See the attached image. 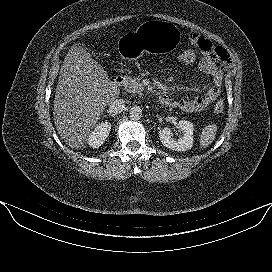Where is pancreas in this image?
I'll use <instances>...</instances> for the list:
<instances>
[{
	"mask_svg": "<svg viewBox=\"0 0 272 272\" xmlns=\"http://www.w3.org/2000/svg\"><path fill=\"white\" fill-rule=\"evenodd\" d=\"M124 89L128 93L139 94L144 90V87L140 82V78L128 77L124 82Z\"/></svg>",
	"mask_w": 272,
	"mask_h": 272,
	"instance_id": "pancreas-1",
	"label": "pancreas"
}]
</instances>
